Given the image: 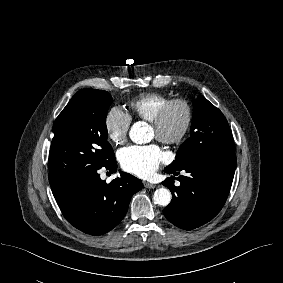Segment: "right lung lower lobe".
<instances>
[{
    "label": "right lung lower lobe",
    "mask_w": 283,
    "mask_h": 283,
    "mask_svg": "<svg viewBox=\"0 0 283 283\" xmlns=\"http://www.w3.org/2000/svg\"><path fill=\"white\" fill-rule=\"evenodd\" d=\"M104 167L115 172V157ZM98 170L78 174L51 186L67 221L90 235H102L112 230L125 216L131 197L142 188L141 180L125 172L107 184L100 179Z\"/></svg>",
    "instance_id": "98d812e1"
}]
</instances>
